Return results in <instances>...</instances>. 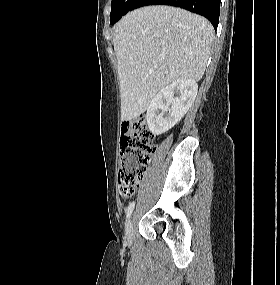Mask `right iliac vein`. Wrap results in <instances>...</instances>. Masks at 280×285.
Instances as JSON below:
<instances>
[{"label": "right iliac vein", "instance_id": "63e3f726", "mask_svg": "<svg viewBox=\"0 0 280 285\" xmlns=\"http://www.w3.org/2000/svg\"><path fill=\"white\" fill-rule=\"evenodd\" d=\"M133 222L131 220V218H129L126 222V226H125V236H126V239L129 243L132 242V239H133Z\"/></svg>", "mask_w": 280, "mask_h": 285}]
</instances>
